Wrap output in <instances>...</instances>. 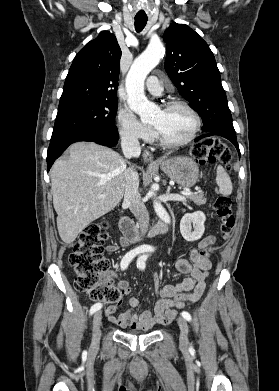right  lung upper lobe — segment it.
Wrapping results in <instances>:
<instances>
[{"instance_id":"right-lung-upper-lobe-1","label":"right lung upper lobe","mask_w":279,"mask_h":391,"mask_svg":"<svg viewBox=\"0 0 279 391\" xmlns=\"http://www.w3.org/2000/svg\"><path fill=\"white\" fill-rule=\"evenodd\" d=\"M121 49L114 34L103 31L75 56L58 109L96 101L117 100Z\"/></svg>"}]
</instances>
